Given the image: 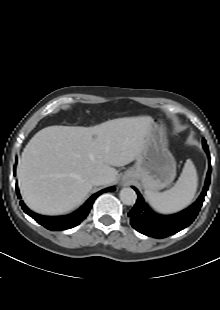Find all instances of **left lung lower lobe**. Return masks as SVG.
<instances>
[{"label":"left lung lower lobe","mask_w":220,"mask_h":310,"mask_svg":"<svg viewBox=\"0 0 220 310\" xmlns=\"http://www.w3.org/2000/svg\"><path fill=\"white\" fill-rule=\"evenodd\" d=\"M209 161L208 173L205 186L197 201L187 209L173 215H159L154 213L145 203L139 191L133 187L138 194V199L132 210L128 213L131 218L132 227L138 232L154 238H165L188 227L198 215L204 197L208 190L211 177V164L208 146L204 147Z\"/></svg>","instance_id":"left-lung-lower-lobe-1"}]
</instances>
